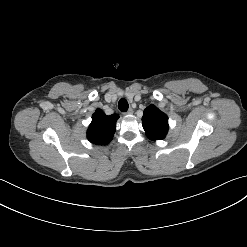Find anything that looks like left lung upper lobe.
Instances as JSON below:
<instances>
[{
  "mask_svg": "<svg viewBox=\"0 0 247 247\" xmlns=\"http://www.w3.org/2000/svg\"><path fill=\"white\" fill-rule=\"evenodd\" d=\"M142 125L147 137L154 141L164 139L169 129L167 115L152 104L144 110Z\"/></svg>",
  "mask_w": 247,
  "mask_h": 247,
  "instance_id": "1",
  "label": "left lung upper lobe"
}]
</instances>
